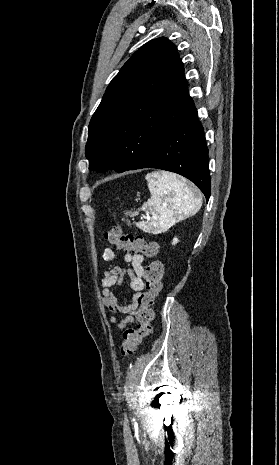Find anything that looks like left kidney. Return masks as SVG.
Masks as SVG:
<instances>
[{
  "label": "left kidney",
  "mask_w": 279,
  "mask_h": 465,
  "mask_svg": "<svg viewBox=\"0 0 279 465\" xmlns=\"http://www.w3.org/2000/svg\"><path fill=\"white\" fill-rule=\"evenodd\" d=\"M177 242H178V239L174 238L172 244H176Z\"/></svg>",
  "instance_id": "1"
}]
</instances>
